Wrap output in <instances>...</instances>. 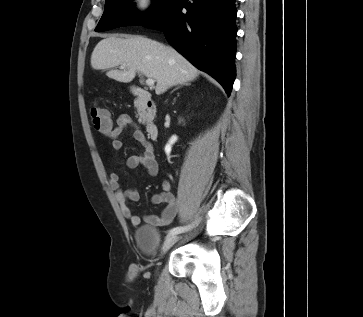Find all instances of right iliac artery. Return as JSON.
I'll use <instances>...</instances> for the list:
<instances>
[{
  "label": "right iliac artery",
  "instance_id": "obj_1",
  "mask_svg": "<svg viewBox=\"0 0 363 317\" xmlns=\"http://www.w3.org/2000/svg\"><path fill=\"white\" fill-rule=\"evenodd\" d=\"M191 226H180V227H175V228H172L170 231H169V234H178V233H181V232H184L188 229H190Z\"/></svg>",
  "mask_w": 363,
  "mask_h": 317
}]
</instances>
